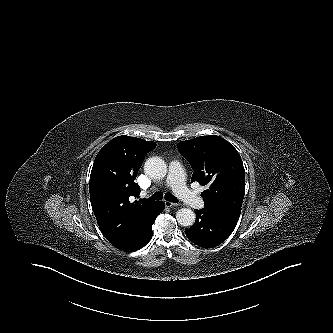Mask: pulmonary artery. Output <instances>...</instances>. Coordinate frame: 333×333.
<instances>
[{
  "label": "pulmonary artery",
  "instance_id": "pulmonary-artery-1",
  "mask_svg": "<svg viewBox=\"0 0 333 333\" xmlns=\"http://www.w3.org/2000/svg\"><path fill=\"white\" fill-rule=\"evenodd\" d=\"M167 183L172 187L178 198L188 206L197 209L204 206L203 199L187 188L183 166L180 161L174 160L170 164Z\"/></svg>",
  "mask_w": 333,
  "mask_h": 333
}]
</instances>
